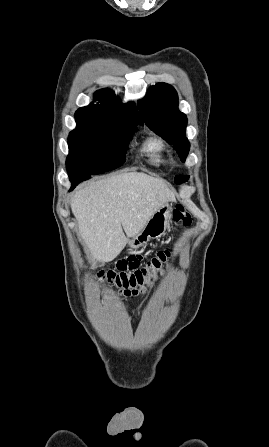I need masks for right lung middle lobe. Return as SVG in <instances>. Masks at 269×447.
<instances>
[{
  "mask_svg": "<svg viewBox=\"0 0 269 447\" xmlns=\"http://www.w3.org/2000/svg\"><path fill=\"white\" fill-rule=\"evenodd\" d=\"M76 122L77 128L70 132L68 138L66 168L70 175L87 180L89 175L116 169L125 162V149L139 124Z\"/></svg>",
  "mask_w": 269,
  "mask_h": 447,
  "instance_id": "dd1d6c3e",
  "label": "right lung middle lobe"
}]
</instances>
